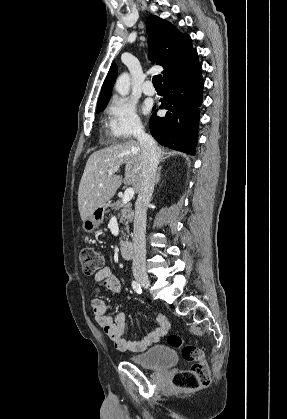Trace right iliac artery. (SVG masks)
Instances as JSON below:
<instances>
[{
  "instance_id": "obj_1",
  "label": "right iliac artery",
  "mask_w": 287,
  "mask_h": 419,
  "mask_svg": "<svg viewBox=\"0 0 287 419\" xmlns=\"http://www.w3.org/2000/svg\"><path fill=\"white\" fill-rule=\"evenodd\" d=\"M132 288L134 289V291L136 293H138V294H141L142 293L141 286H140V284L138 282L132 281Z\"/></svg>"
}]
</instances>
